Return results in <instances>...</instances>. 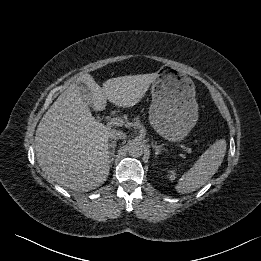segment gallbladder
Instances as JSON below:
<instances>
[{
  "mask_svg": "<svg viewBox=\"0 0 261 261\" xmlns=\"http://www.w3.org/2000/svg\"><path fill=\"white\" fill-rule=\"evenodd\" d=\"M79 89H80V91H81L82 94L88 96V94H89V90L87 89L86 86H84V85H79ZM87 98H88V97H87Z\"/></svg>",
  "mask_w": 261,
  "mask_h": 261,
  "instance_id": "obj_1",
  "label": "gallbladder"
}]
</instances>
